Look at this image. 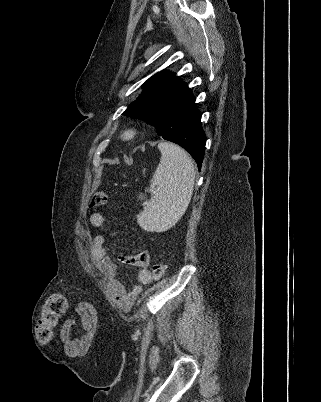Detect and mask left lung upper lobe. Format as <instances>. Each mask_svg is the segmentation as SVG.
Here are the masks:
<instances>
[{"label": "left lung upper lobe", "instance_id": "1", "mask_svg": "<svg viewBox=\"0 0 321 402\" xmlns=\"http://www.w3.org/2000/svg\"><path fill=\"white\" fill-rule=\"evenodd\" d=\"M181 82L173 73H156L143 84L141 95L122 114L154 126L164 99Z\"/></svg>", "mask_w": 321, "mask_h": 402}]
</instances>
